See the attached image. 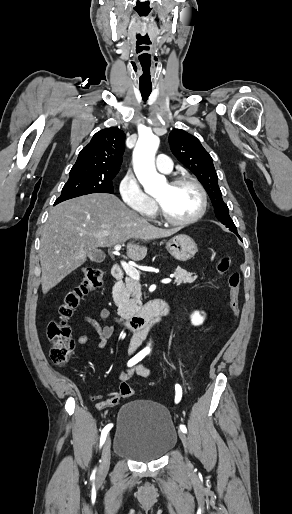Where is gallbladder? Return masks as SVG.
<instances>
[{"mask_svg": "<svg viewBox=\"0 0 292 514\" xmlns=\"http://www.w3.org/2000/svg\"><path fill=\"white\" fill-rule=\"evenodd\" d=\"M104 258H105V256H104V254H103V256H102V260H104Z\"/></svg>", "mask_w": 292, "mask_h": 514, "instance_id": "bac80fb5", "label": "gallbladder"}]
</instances>
